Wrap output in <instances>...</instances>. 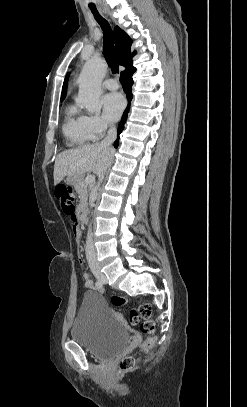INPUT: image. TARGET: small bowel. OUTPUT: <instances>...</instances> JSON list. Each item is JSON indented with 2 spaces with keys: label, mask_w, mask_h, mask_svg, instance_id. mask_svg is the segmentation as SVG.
Listing matches in <instances>:
<instances>
[{
  "label": "small bowel",
  "mask_w": 247,
  "mask_h": 407,
  "mask_svg": "<svg viewBox=\"0 0 247 407\" xmlns=\"http://www.w3.org/2000/svg\"><path fill=\"white\" fill-rule=\"evenodd\" d=\"M69 217H70L71 221L74 223V228H73L74 236L76 239H78L80 237V231L76 224V215L74 213L72 216H69ZM84 278H85V286L87 288H92L93 282L88 278V276L86 274L84 275Z\"/></svg>",
  "instance_id": "c3829d8e"
}]
</instances>
